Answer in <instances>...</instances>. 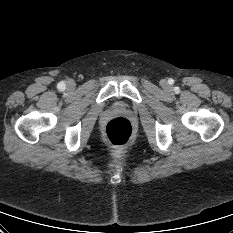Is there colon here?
<instances>
[{"label":"colon","mask_w":233,"mask_h":233,"mask_svg":"<svg viewBox=\"0 0 233 233\" xmlns=\"http://www.w3.org/2000/svg\"><path fill=\"white\" fill-rule=\"evenodd\" d=\"M106 140L115 146L128 144L133 137V127L130 121L123 117L110 120L104 130Z\"/></svg>","instance_id":"1"}]
</instances>
